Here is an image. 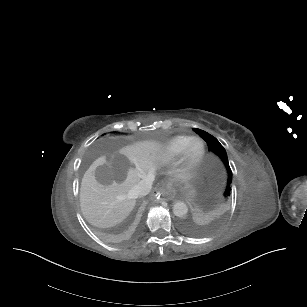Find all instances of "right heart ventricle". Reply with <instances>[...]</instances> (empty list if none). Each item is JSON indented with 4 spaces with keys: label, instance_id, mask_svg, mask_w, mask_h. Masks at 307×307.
<instances>
[{
    "label": "right heart ventricle",
    "instance_id": "obj_1",
    "mask_svg": "<svg viewBox=\"0 0 307 307\" xmlns=\"http://www.w3.org/2000/svg\"><path fill=\"white\" fill-rule=\"evenodd\" d=\"M192 139L189 135H175L155 147V152L165 161L180 158L185 147Z\"/></svg>",
    "mask_w": 307,
    "mask_h": 307
}]
</instances>
